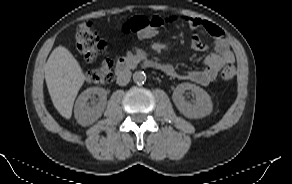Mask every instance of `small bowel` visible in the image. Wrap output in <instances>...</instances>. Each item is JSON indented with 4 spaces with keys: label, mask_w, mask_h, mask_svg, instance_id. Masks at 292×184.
I'll return each mask as SVG.
<instances>
[{
    "label": "small bowel",
    "mask_w": 292,
    "mask_h": 184,
    "mask_svg": "<svg viewBox=\"0 0 292 184\" xmlns=\"http://www.w3.org/2000/svg\"><path fill=\"white\" fill-rule=\"evenodd\" d=\"M163 26L168 22H174L176 20H182L192 29L198 30L202 29L209 33L213 38L214 42L212 44L214 52L208 54L205 59V67L198 70H190L184 74L179 73L174 67L167 65L168 70L166 73L168 75L189 80L194 83L206 86L215 80L219 70L224 64L233 63L235 58L234 54L230 49L226 36L223 30L217 25L200 19L196 17L184 16L181 18L177 17H167L163 18L161 16H154ZM191 47L196 51H205L209 48V45L204 43L198 34L194 33L191 38Z\"/></svg>",
    "instance_id": "c3829d8e"
}]
</instances>
